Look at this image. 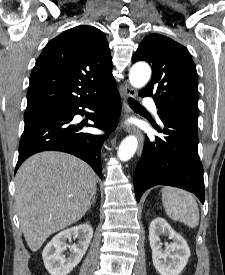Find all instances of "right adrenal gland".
Segmentation results:
<instances>
[{
	"instance_id": "right-adrenal-gland-1",
	"label": "right adrenal gland",
	"mask_w": 225,
	"mask_h": 275,
	"mask_svg": "<svg viewBox=\"0 0 225 275\" xmlns=\"http://www.w3.org/2000/svg\"><path fill=\"white\" fill-rule=\"evenodd\" d=\"M96 193H97V190L95 191L93 197H92V202H91V205H93L95 203V200H96Z\"/></svg>"
}]
</instances>
